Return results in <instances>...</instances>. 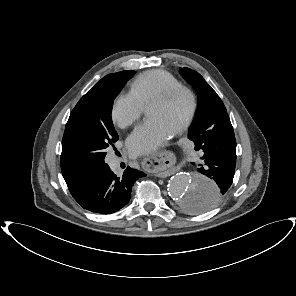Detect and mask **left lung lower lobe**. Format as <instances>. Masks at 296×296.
Segmentation results:
<instances>
[{
  "instance_id": "0a47b994",
  "label": "left lung lower lobe",
  "mask_w": 296,
  "mask_h": 296,
  "mask_svg": "<svg viewBox=\"0 0 296 296\" xmlns=\"http://www.w3.org/2000/svg\"><path fill=\"white\" fill-rule=\"evenodd\" d=\"M205 143L203 163L197 171L214 180L218 186L213 192L203 198L193 200V212H201L211 208L227 194L234 177L236 165V141L229 116L217 122L204 134Z\"/></svg>"
}]
</instances>
